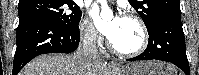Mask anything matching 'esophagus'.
Here are the masks:
<instances>
[{
    "label": "esophagus",
    "mask_w": 199,
    "mask_h": 75,
    "mask_svg": "<svg viewBox=\"0 0 199 75\" xmlns=\"http://www.w3.org/2000/svg\"><path fill=\"white\" fill-rule=\"evenodd\" d=\"M110 65H114V62H113V61H111V62H110Z\"/></svg>",
    "instance_id": "esophagus-1"
}]
</instances>
